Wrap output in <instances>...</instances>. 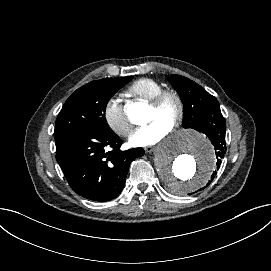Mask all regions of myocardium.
I'll return each mask as SVG.
<instances>
[{
  "label": "myocardium",
  "mask_w": 271,
  "mask_h": 271,
  "mask_svg": "<svg viewBox=\"0 0 271 271\" xmlns=\"http://www.w3.org/2000/svg\"><path fill=\"white\" fill-rule=\"evenodd\" d=\"M168 98H174L178 104V112L171 121V127L175 128L182 123L187 111L186 100L177 88L168 87L162 89L150 102V106L156 111L161 112Z\"/></svg>",
  "instance_id": "f54148a6"
}]
</instances>
